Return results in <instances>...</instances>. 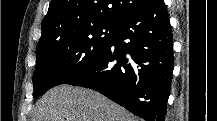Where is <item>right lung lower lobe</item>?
Segmentation results:
<instances>
[{
    "label": "right lung lower lobe",
    "instance_id": "1",
    "mask_svg": "<svg viewBox=\"0 0 217 121\" xmlns=\"http://www.w3.org/2000/svg\"><path fill=\"white\" fill-rule=\"evenodd\" d=\"M173 41L163 0H149L119 24L105 51L66 84L94 89L146 121H164Z\"/></svg>",
    "mask_w": 217,
    "mask_h": 121
}]
</instances>
